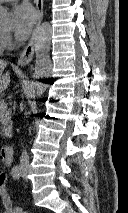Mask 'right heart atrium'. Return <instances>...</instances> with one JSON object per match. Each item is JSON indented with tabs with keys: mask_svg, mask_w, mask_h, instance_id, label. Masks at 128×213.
<instances>
[{
	"mask_svg": "<svg viewBox=\"0 0 128 213\" xmlns=\"http://www.w3.org/2000/svg\"><path fill=\"white\" fill-rule=\"evenodd\" d=\"M11 44V37L7 33H0V51L8 48Z\"/></svg>",
	"mask_w": 128,
	"mask_h": 213,
	"instance_id": "d8ad5b80",
	"label": "right heart atrium"
}]
</instances>
